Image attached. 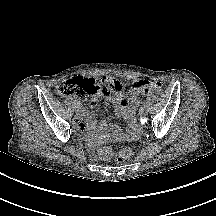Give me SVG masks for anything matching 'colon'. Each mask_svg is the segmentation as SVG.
Returning a JSON list of instances; mask_svg holds the SVG:
<instances>
[{
    "instance_id": "obj_1",
    "label": "colon",
    "mask_w": 216,
    "mask_h": 216,
    "mask_svg": "<svg viewBox=\"0 0 216 216\" xmlns=\"http://www.w3.org/2000/svg\"><path fill=\"white\" fill-rule=\"evenodd\" d=\"M133 87L141 95L159 94L163 91L162 85L158 82L138 81ZM58 92L64 97H76L81 100L94 102L104 94V88L98 85L92 78L77 76L61 83L58 86ZM98 152L103 156L113 155L115 162L119 164L128 161L132 156V150L129 148L114 151L111 146H101Z\"/></svg>"
}]
</instances>
